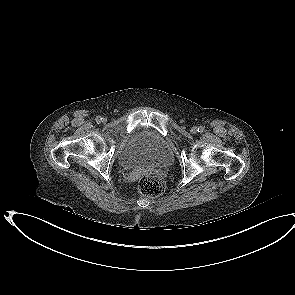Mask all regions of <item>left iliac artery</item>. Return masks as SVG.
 Instances as JSON below:
<instances>
[{
  "mask_svg": "<svg viewBox=\"0 0 295 295\" xmlns=\"http://www.w3.org/2000/svg\"><path fill=\"white\" fill-rule=\"evenodd\" d=\"M197 131L200 132V133H202L204 131V127L203 126H199L197 128Z\"/></svg>",
  "mask_w": 295,
  "mask_h": 295,
  "instance_id": "44dca946",
  "label": "left iliac artery"
}]
</instances>
